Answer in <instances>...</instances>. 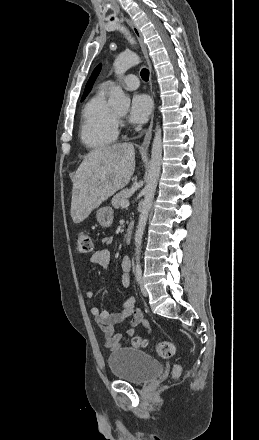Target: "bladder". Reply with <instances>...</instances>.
Instances as JSON below:
<instances>
[{
    "instance_id": "1",
    "label": "bladder",
    "mask_w": 259,
    "mask_h": 440,
    "mask_svg": "<svg viewBox=\"0 0 259 440\" xmlns=\"http://www.w3.org/2000/svg\"><path fill=\"white\" fill-rule=\"evenodd\" d=\"M108 364L116 379L133 384L147 383L163 371V364L158 359L131 347H120L112 351Z\"/></svg>"
}]
</instances>
